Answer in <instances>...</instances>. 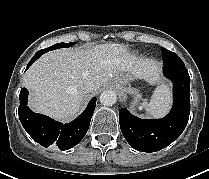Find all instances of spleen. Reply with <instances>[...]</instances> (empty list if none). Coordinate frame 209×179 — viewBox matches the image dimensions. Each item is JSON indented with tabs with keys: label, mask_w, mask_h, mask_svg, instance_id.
Masks as SVG:
<instances>
[{
	"label": "spleen",
	"mask_w": 209,
	"mask_h": 179,
	"mask_svg": "<svg viewBox=\"0 0 209 179\" xmlns=\"http://www.w3.org/2000/svg\"><path fill=\"white\" fill-rule=\"evenodd\" d=\"M171 105V92L167 84L158 86L147 105L148 112L154 117H163Z\"/></svg>",
	"instance_id": "1"
}]
</instances>
